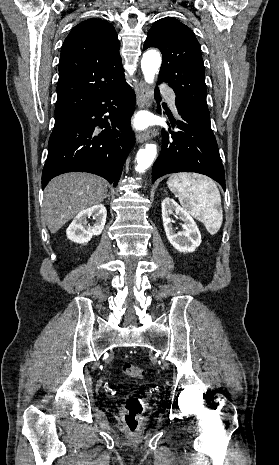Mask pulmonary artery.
<instances>
[{
    "mask_svg": "<svg viewBox=\"0 0 279 465\" xmlns=\"http://www.w3.org/2000/svg\"><path fill=\"white\" fill-rule=\"evenodd\" d=\"M161 91L163 92V94H165V96L167 97L171 107L175 110L176 109V99H175V94L172 92V90H170L169 88L163 86L161 88Z\"/></svg>",
    "mask_w": 279,
    "mask_h": 465,
    "instance_id": "1",
    "label": "pulmonary artery"
}]
</instances>
